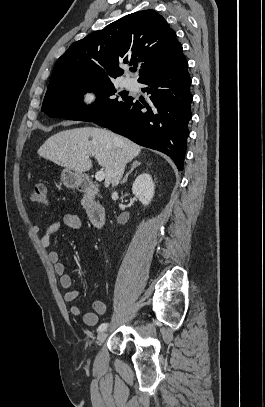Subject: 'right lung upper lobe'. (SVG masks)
Returning a JSON list of instances; mask_svg holds the SVG:
<instances>
[{
  "label": "right lung upper lobe",
  "instance_id": "obj_1",
  "mask_svg": "<svg viewBox=\"0 0 265 407\" xmlns=\"http://www.w3.org/2000/svg\"><path fill=\"white\" fill-rule=\"evenodd\" d=\"M182 53L176 32L154 10L129 14L73 43L57 60L49 84L110 80L123 74L119 64L140 66V78Z\"/></svg>",
  "mask_w": 265,
  "mask_h": 407
}]
</instances>
